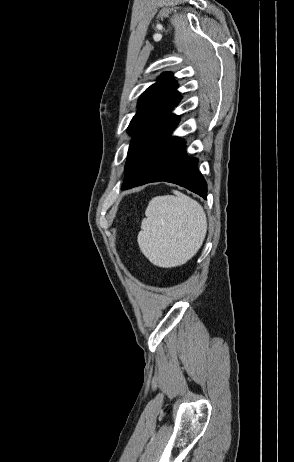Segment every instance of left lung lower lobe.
Wrapping results in <instances>:
<instances>
[{"mask_svg":"<svg viewBox=\"0 0 294 462\" xmlns=\"http://www.w3.org/2000/svg\"><path fill=\"white\" fill-rule=\"evenodd\" d=\"M178 102L166 107L156 106L147 116L129 149L121 189L166 181L207 199V185L197 169L198 160L187 156L183 141L177 137L168 138L179 122V118L170 113Z\"/></svg>","mask_w":294,"mask_h":462,"instance_id":"1","label":"left lung lower lobe"}]
</instances>
